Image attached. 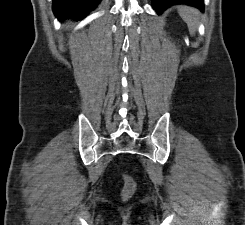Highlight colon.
Returning <instances> with one entry per match:
<instances>
[{"label":"colon","mask_w":245,"mask_h":225,"mask_svg":"<svg viewBox=\"0 0 245 225\" xmlns=\"http://www.w3.org/2000/svg\"><path fill=\"white\" fill-rule=\"evenodd\" d=\"M136 183L130 178L125 176L124 177V188L121 193V199L123 201L130 200L136 193Z\"/></svg>","instance_id":"5ec220e1"}]
</instances>
